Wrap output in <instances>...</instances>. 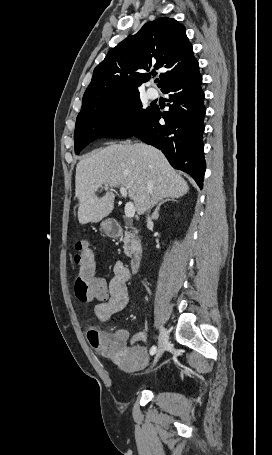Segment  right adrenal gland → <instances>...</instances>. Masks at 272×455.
I'll list each match as a JSON object with an SVG mask.
<instances>
[{
  "label": "right adrenal gland",
  "mask_w": 272,
  "mask_h": 455,
  "mask_svg": "<svg viewBox=\"0 0 272 455\" xmlns=\"http://www.w3.org/2000/svg\"><path fill=\"white\" fill-rule=\"evenodd\" d=\"M169 201L176 202V200L174 198H166V199L162 200L156 207L155 211L153 212L152 217H151L152 220L158 219V216H159L158 212L160 210L161 205H163L164 203L169 202Z\"/></svg>",
  "instance_id": "obj_1"
}]
</instances>
